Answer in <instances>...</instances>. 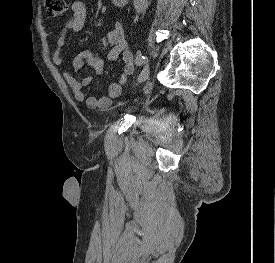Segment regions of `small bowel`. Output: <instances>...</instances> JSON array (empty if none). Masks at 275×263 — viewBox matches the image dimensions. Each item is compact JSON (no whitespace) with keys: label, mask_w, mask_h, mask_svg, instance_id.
<instances>
[{"label":"small bowel","mask_w":275,"mask_h":263,"mask_svg":"<svg viewBox=\"0 0 275 263\" xmlns=\"http://www.w3.org/2000/svg\"><path fill=\"white\" fill-rule=\"evenodd\" d=\"M87 14L88 8L85 3L75 1L72 4L71 15L65 21L57 38L52 61L59 68L62 77L69 85L76 101L85 102L89 108L103 109L109 107L112 101L121 95L123 86L127 82V76L134 72L135 66L133 55L128 49V44L125 39L124 28L119 21H116L114 28L101 38L94 48L83 51L73 58V72L68 71L64 67L61 51L65 44L67 34L69 31H82L87 20ZM106 47H111L108 53L109 62H114L118 57H122L124 62L123 73L110 84L107 96L101 98L88 97L84 87L90 85L94 78L92 76H86L82 80H78L76 73L86 64L96 75H101L104 71V62L98 55V50Z\"/></svg>","instance_id":"1"}]
</instances>
